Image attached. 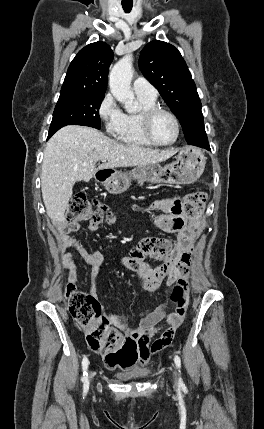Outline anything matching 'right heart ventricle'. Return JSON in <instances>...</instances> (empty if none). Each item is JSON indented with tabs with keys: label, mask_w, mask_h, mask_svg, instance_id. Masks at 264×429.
I'll use <instances>...</instances> for the list:
<instances>
[{
	"label": "right heart ventricle",
	"mask_w": 264,
	"mask_h": 429,
	"mask_svg": "<svg viewBox=\"0 0 264 429\" xmlns=\"http://www.w3.org/2000/svg\"><path fill=\"white\" fill-rule=\"evenodd\" d=\"M139 110L137 112L123 113L119 129L114 134L122 143L134 146H152L144 136L141 128V113L143 110L157 105L156 98L137 95Z\"/></svg>",
	"instance_id": "obj_1"
}]
</instances>
